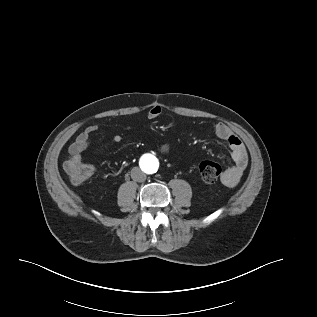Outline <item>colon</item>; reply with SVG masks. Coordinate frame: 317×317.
Wrapping results in <instances>:
<instances>
[{
    "mask_svg": "<svg viewBox=\"0 0 317 317\" xmlns=\"http://www.w3.org/2000/svg\"><path fill=\"white\" fill-rule=\"evenodd\" d=\"M66 172L74 184H82L93 174V167L83 162H66ZM199 174L205 183L215 182L221 174V167L214 161H203L199 165Z\"/></svg>",
    "mask_w": 317,
    "mask_h": 317,
    "instance_id": "colon-1",
    "label": "colon"
}]
</instances>
